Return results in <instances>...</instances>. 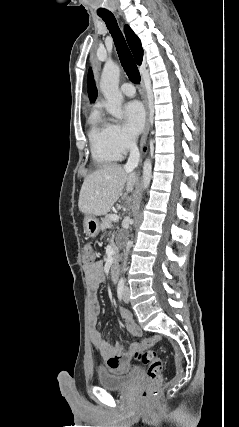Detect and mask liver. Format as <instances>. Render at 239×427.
Segmentation results:
<instances>
[{"label": "liver", "instance_id": "liver-1", "mask_svg": "<svg viewBox=\"0 0 239 427\" xmlns=\"http://www.w3.org/2000/svg\"><path fill=\"white\" fill-rule=\"evenodd\" d=\"M136 180V174L125 166L103 165L85 178L79 195V210L93 216L107 214L121 196L125 184L126 191L132 192Z\"/></svg>", "mask_w": 239, "mask_h": 427}]
</instances>
